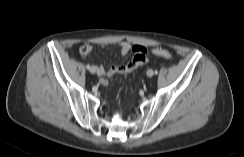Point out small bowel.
<instances>
[{
    "instance_id": "obj_1",
    "label": "small bowel",
    "mask_w": 244,
    "mask_h": 157,
    "mask_svg": "<svg viewBox=\"0 0 244 157\" xmlns=\"http://www.w3.org/2000/svg\"><path fill=\"white\" fill-rule=\"evenodd\" d=\"M104 47L106 45H103ZM117 50L121 55H127L129 52H133V53H137L140 50H145V47L141 46V45H131L128 42H121L119 44H117ZM92 51V46L91 45H83L80 47L79 52L81 55L87 57L90 55ZM142 63L137 62L134 57L133 59L127 63L126 65H120V66H111L108 69H106L104 66L102 65H95L96 71L98 76L100 77V82L103 85L107 84V79L115 74H128L131 73L132 71H134L136 68H138L139 66H141Z\"/></svg>"
}]
</instances>
